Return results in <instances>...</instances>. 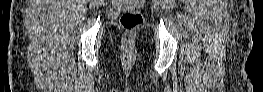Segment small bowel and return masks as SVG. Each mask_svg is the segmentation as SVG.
<instances>
[{
	"instance_id": "c3829d8e",
	"label": "small bowel",
	"mask_w": 263,
	"mask_h": 92,
	"mask_svg": "<svg viewBox=\"0 0 263 92\" xmlns=\"http://www.w3.org/2000/svg\"><path fill=\"white\" fill-rule=\"evenodd\" d=\"M122 2H128V1H122ZM128 3L138 5V6L143 4V3H138L137 1H129Z\"/></svg>"
}]
</instances>
